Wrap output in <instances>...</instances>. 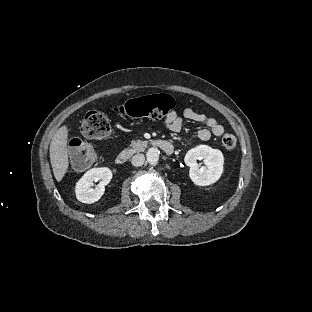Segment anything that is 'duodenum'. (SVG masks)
Here are the masks:
<instances>
[{"instance_id": "1", "label": "duodenum", "mask_w": 312, "mask_h": 312, "mask_svg": "<svg viewBox=\"0 0 312 312\" xmlns=\"http://www.w3.org/2000/svg\"><path fill=\"white\" fill-rule=\"evenodd\" d=\"M149 144L159 147L163 152H165L168 155H173L176 150L172 142L161 138L153 139L149 142ZM132 154H133L132 148L124 149L117 155L116 163L119 165L124 164L131 157Z\"/></svg>"}]
</instances>
